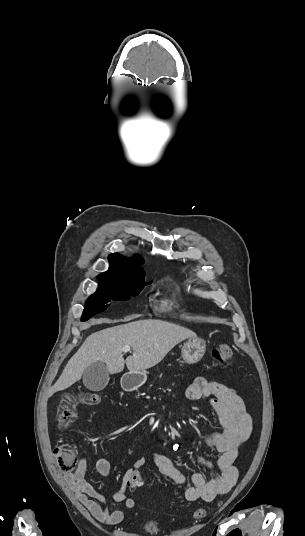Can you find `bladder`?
<instances>
[{
  "mask_svg": "<svg viewBox=\"0 0 305 536\" xmlns=\"http://www.w3.org/2000/svg\"><path fill=\"white\" fill-rule=\"evenodd\" d=\"M141 531L146 535H156L160 532V524L154 520H145L141 526Z\"/></svg>",
  "mask_w": 305,
  "mask_h": 536,
  "instance_id": "bladder-1",
  "label": "bladder"
}]
</instances>
